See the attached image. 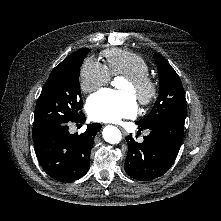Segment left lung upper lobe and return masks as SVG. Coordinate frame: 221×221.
<instances>
[{"mask_svg":"<svg viewBox=\"0 0 221 221\" xmlns=\"http://www.w3.org/2000/svg\"><path fill=\"white\" fill-rule=\"evenodd\" d=\"M158 66L160 93L151 112L140 121L142 128L171 117H186V99L181 81L168 61L158 53L154 55Z\"/></svg>","mask_w":221,"mask_h":221,"instance_id":"left-lung-upper-lobe-1","label":"left lung upper lobe"}]
</instances>
